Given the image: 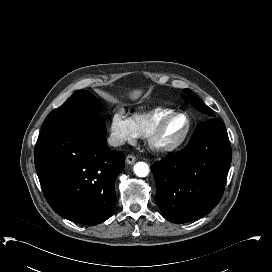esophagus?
Here are the masks:
<instances>
[{
	"mask_svg": "<svg viewBox=\"0 0 272 272\" xmlns=\"http://www.w3.org/2000/svg\"><path fill=\"white\" fill-rule=\"evenodd\" d=\"M135 161H136L135 156L130 155V154L127 155V157H126V163H127V164H133Z\"/></svg>",
	"mask_w": 272,
	"mask_h": 272,
	"instance_id": "1",
	"label": "esophagus"
}]
</instances>
